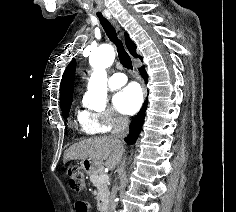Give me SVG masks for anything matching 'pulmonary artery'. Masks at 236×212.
<instances>
[{
  "mask_svg": "<svg viewBox=\"0 0 236 212\" xmlns=\"http://www.w3.org/2000/svg\"><path fill=\"white\" fill-rule=\"evenodd\" d=\"M127 81V77L123 73H115L108 80V86L110 89H117L124 85Z\"/></svg>",
  "mask_w": 236,
  "mask_h": 212,
  "instance_id": "pulmonary-artery-1",
  "label": "pulmonary artery"
}]
</instances>
